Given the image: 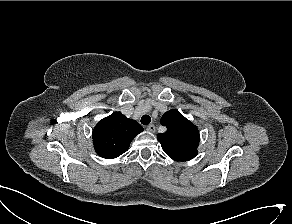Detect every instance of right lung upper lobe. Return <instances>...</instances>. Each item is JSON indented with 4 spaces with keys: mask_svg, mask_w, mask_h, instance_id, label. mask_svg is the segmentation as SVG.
Returning a JSON list of instances; mask_svg holds the SVG:
<instances>
[{
    "mask_svg": "<svg viewBox=\"0 0 292 224\" xmlns=\"http://www.w3.org/2000/svg\"><path fill=\"white\" fill-rule=\"evenodd\" d=\"M142 131L138 122L121 112H114L95 126L92 133L94 149L102 158H116L128 150L131 141Z\"/></svg>",
    "mask_w": 292,
    "mask_h": 224,
    "instance_id": "cb5924a9",
    "label": "right lung upper lobe"
}]
</instances>
